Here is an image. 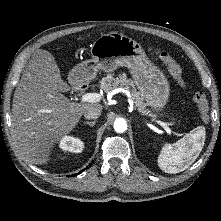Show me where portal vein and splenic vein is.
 Masks as SVG:
<instances>
[{"mask_svg": "<svg viewBox=\"0 0 221 221\" xmlns=\"http://www.w3.org/2000/svg\"><path fill=\"white\" fill-rule=\"evenodd\" d=\"M100 100H101V95L99 93H86L82 95L81 97V101L83 102L96 103V102H100ZM155 122H157L160 126H162L168 134L171 135L173 133L167 123H164L158 120H155Z\"/></svg>", "mask_w": 221, "mask_h": 221, "instance_id": "1", "label": "portal vein and splenic vein"}]
</instances>
